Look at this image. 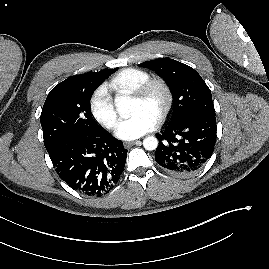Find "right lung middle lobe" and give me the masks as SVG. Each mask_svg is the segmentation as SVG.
<instances>
[{
    "mask_svg": "<svg viewBox=\"0 0 269 269\" xmlns=\"http://www.w3.org/2000/svg\"><path fill=\"white\" fill-rule=\"evenodd\" d=\"M117 69L66 79L50 91L40 116L46 150L63 137L101 129L92 118L89 101L93 91Z\"/></svg>",
    "mask_w": 269,
    "mask_h": 269,
    "instance_id": "dd1d6c3e",
    "label": "right lung middle lobe"
}]
</instances>
